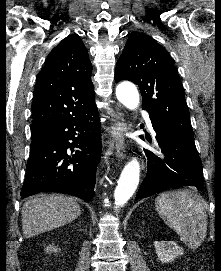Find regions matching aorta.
Masks as SVG:
<instances>
[{
    "label": "aorta",
    "instance_id": "obj_1",
    "mask_svg": "<svg viewBox=\"0 0 221 271\" xmlns=\"http://www.w3.org/2000/svg\"><path fill=\"white\" fill-rule=\"evenodd\" d=\"M117 99L128 109L134 110L139 105V93L136 86L123 82L116 87ZM140 177V164L136 158L129 161L118 180L114 192L115 208L124 206L137 189Z\"/></svg>",
    "mask_w": 221,
    "mask_h": 271
}]
</instances>
